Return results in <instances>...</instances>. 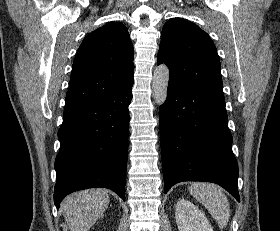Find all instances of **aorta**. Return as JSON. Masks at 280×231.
Here are the masks:
<instances>
[{
	"label": "aorta",
	"mask_w": 280,
	"mask_h": 231,
	"mask_svg": "<svg viewBox=\"0 0 280 231\" xmlns=\"http://www.w3.org/2000/svg\"><path fill=\"white\" fill-rule=\"evenodd\" d=\"M168 82L169 68L165 64H160L155 68L152 80V96L158 106L166 102Z\"/></svg>",
	"instance_id": "762f6f07"
}]
</instances>
